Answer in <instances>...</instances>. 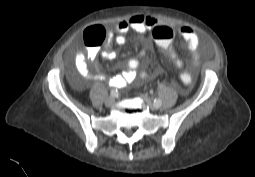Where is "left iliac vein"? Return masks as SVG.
Returning a JSON list of instances; mask_svg holds the SVG:
<instances>
[{"instance_id": "4c4485c4", "label": "left iliac vein", "mask_w": 255, "mask_h": 177, "mask_svg": "<svg viewBox=\"0 0 255 177\" xmlns=\"http://www.w3.org/2000/svg\"><path fill=\"white\" fill-rule=\"evenodd\" d=\"M144 98V100L146 101V103L148 104V106L150 107V109L152 110H155L157 109L158 107H156L154 105V103L148 98V97H145V96H142Z\"/></svg>"}]
</instances>
